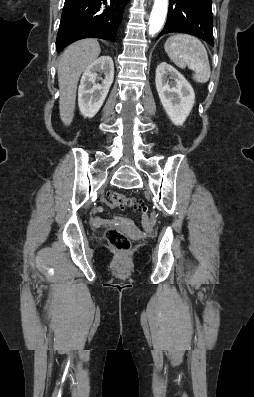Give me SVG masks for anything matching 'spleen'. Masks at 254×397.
Wrapping results in <instances>:
<instances>
[{
	"label": "spleen",
	"mask_w": 254,
	"mask_h": 397,
	"mask_svg": "<svg viewBox=\"0 0 254 397\" xmlns=\"http://www.w3.org/2000/svg\"><path fill=\"white\" fill-rule=\"evenodd\" d=\"M169 58L180 68L188 66L194 71L193 79L197 83H206L211 74L208 54L204 45L195 37L187 34H175L164 45Z\"/></svg>",
	"instance_id": "obj_1"
}]
</instances>
